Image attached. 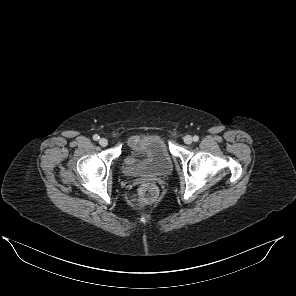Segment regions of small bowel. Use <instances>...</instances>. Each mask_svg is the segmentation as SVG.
<instances>
[{"mask_svg": "<svg viewBox=\"0 0 296 296\" xmlns=\"http://www.w3.org/2000/svg\"><path fill=\"white\" fill-rule=\"evenodd\" d=\"M139 140V137H132L130 140H129V146L130 148L132 149L133 151V154L132 156H130L126 163L128 164H132L135 160H136V156H137V153H138V149L135 147L137 141Z\"/></svg>", "mask_w": 296, "mask_h": 296, "instance_id": "c3829d8e", "label": "small bowel"}]
</instances>
